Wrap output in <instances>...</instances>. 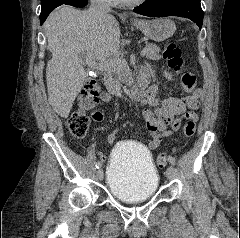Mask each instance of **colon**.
I'll return each mask as SVG.
<instances>
[{"label":"colon","instance_id":"1","mask_svg":"<svg viewBox=\"0 0 240 238\" xmlns=\"http://www.w3.org/2000/svg\"><path fill=\"white\" fill-rule=\"evenodd\" d=\"M163 57L168 65L174 71L180 73L182 86L185 90H192L196 84V76L192 72H182L184 59L181 50L173 43H168L163 49ZM99 84L96 79L86 81L78 101L79 109L67 118L66 125L70 134L76 138H82L86 135L89 126V117L86 111L91 110L99 101ZM196 125L193 119H188L183 127V133L186 137H192L195 134ZM159 167L167 164V155L160 153L156 158Z\"/></svg>","mask_w":240,"mask_h":238}]
</instances>
